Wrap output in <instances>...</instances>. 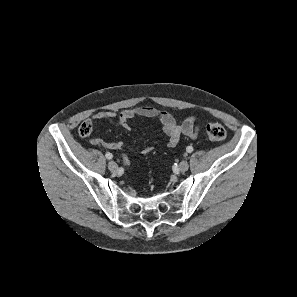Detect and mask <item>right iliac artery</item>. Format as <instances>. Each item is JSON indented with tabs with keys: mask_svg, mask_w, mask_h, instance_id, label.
I'll list each match as a JSON object with an SVG mask.
<instances>
[{
	"mask_svg": "<svg viewBox=\"0 0 297 297\" xmlns=\"http://www.w3.org/2000/svg\"><path fill=\"white\" fill-rule=\"evenodd\" d=\"M105 156H106L107 159H112V157H113V155L111 153H109V152H107L105 154Z\"/></svg>",
	"mask_w": 297,
	"mask_h": 297,
	"instance_id": "1",
	"label": "right iliac artery"
}]
</instances>
